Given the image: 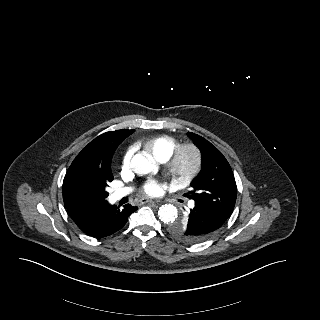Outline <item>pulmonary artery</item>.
<instances>
[{
  "mask_svg": "<svg viewBox=\"0 0 320 320\" xmlns=\"http://www.w3.org/2000/svg\"><path fill=\"white\" fill-rule=\"evenodd\" d=\"M131 192L130 188H121L116 190L113 194H112V199L113 200H119L121 198H123L124 196L128 195ZM190 207H194V203L191 202L189 204Z\"/></svg>",
  "mask_w": 320,
  "mask_h": 320,
  "instance_id": "e3ab8cb5",
  "label": "pulmonary artery"
}]
</instances>
